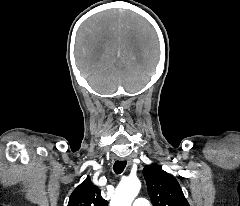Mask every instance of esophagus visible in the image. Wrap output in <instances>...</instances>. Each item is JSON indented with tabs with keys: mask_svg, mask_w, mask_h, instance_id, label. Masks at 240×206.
<instances>
[{
	"mask_svg": "<svg viewBox=\"0 0 240 206\" xmlns=\"http://www.w3.org/2000/svg\"><path fill=\"white\" fill-rule=\"evenodd\" d=\"M122 161H127L128 164L132 163V159L131 158H121Z\"/></svg>",
	"mask_w": 240,
	"mask_h": 206,
	"instance_id": "34e87169",
	"label": "esophagus"
}]
</instances>
